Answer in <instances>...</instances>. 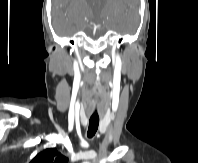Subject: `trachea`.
Listing matches in <instances>:
<instances>
[{"label": "trachea", "instance_id": "obj_1", "mask_svg": "<svg viewBox=\"0 0 198 163\" xmlns=\"http://www.w3.org/2000/svg\"><path fill=\"white\" fill-rule=\"evenodd\" d=\"M98 125H99V118L91 117L89 120V127H88V132H87V136L89 138H92L95 135L98 129Z\"/></svg>", "mask_w": 198, "mask_h": 163}]
</instances>
